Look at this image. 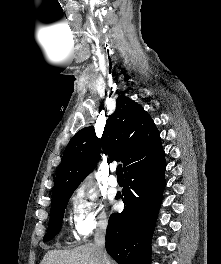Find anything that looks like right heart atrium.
I'll use <instances>...</instances> for the list:
<instances>
[{
    "label": "right heart atrium",
    "instance_id": "right-heart-atrium-1",
    "mask_svg": "<svg viewBox=\"0 0 221 264\" xmlns=\"http://www.w3.org/2000/svg\"><path fill=\"white\" fill-rule=\"evenodd\" d=\"M72 229L79 239H85L94 231L103 230L109 224L103 205L92 199L83 190H78L71 199Z\"/></svg>",
    "mask_w": 221,
    "mask_h": 264
}]
</instances>
